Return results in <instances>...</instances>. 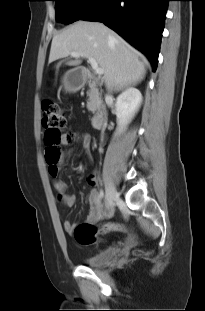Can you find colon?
Instances as JSON below:
<instances>
[{
    "label": "colon",
    "mask_w": 205,
    "mask_h": 311,
    "mask_svg": "<svg viewBox=\"0 0 205 311\" xmlns=\"http://www.w3.org/2000/svg\"><path fill=\"white\" fill-rule=\"evenodd\" d=\"M42 127L44 129V143L46 145L45 158L50 166H56L60 160L61 152L59 145L63 140L71 142V133L65 134L66 117L57 103L51 100L42 102ZM125 225L120 223L106 222L96 226L89 222L77 224L72 235L81 245H91L99 240L100 232L126 231Z\"/></svg>",
    "instance_id": "colon-1"
}]
</instances>
